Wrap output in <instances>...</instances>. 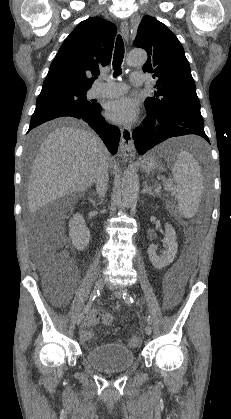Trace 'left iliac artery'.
Returning a JSON list of instances; mask_svg holds the SVG:
<instances>
[{
  "label": "left iliac artery",
  "instance_id": "44dca946",
  "mask_svg": "<svg viewBox=\"0 0 231 419\" xmlns=\"http://www.w3.org/2000/svg\"><path fill=\"white\" fill-rule=\"evenodd\" d=\"M123 299L127 304H132L134 302L132 296L127 291L123 293ZM147 322L148 324H152V318L150 316L147 317Z\"/></svg>",
  "mask_w": 231,
  "mask_h": 419
}]
</instances>
